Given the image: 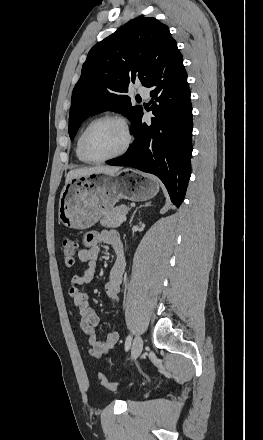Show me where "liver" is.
<instances>
[{
	"mask_svg": "<svg viewBox=\"0 0 263 440\" xmlns=\"http://www.w3.org/2000/svg\"><path fill=\"white\" fill-rule=\"evenodd\" d=\"M120 170L119 167L114 166H104L99 165L95 167L89 168H80L74 169L68 172L66 175V183H68L71 179L81 176H87L91 174H105V175H114Z\"/></svg>",
	"mask_w": 263,
	"mask_h": 440,
	"instance_id": "6515ba94",
	"label": "liver"
}]
</instances>
